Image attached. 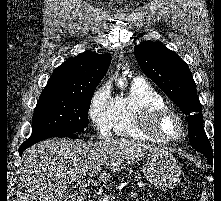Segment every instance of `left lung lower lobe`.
<instances>
[{
    "mask_svg": "<svg viewBox=\"0 0 221 201\" xmlns=\"http://www.w3.org/2000/svg\"><path fill=\"white\" fill-rule=\"evenodd\" d=\"M206 158H207L208 162H209L210 164H212L213 156H206Z\"/></svg>",
    "mask_w": 221,
    "mask_h": 201,
    "instance_id": "obj_1",
    "label": "left lung lower lobe"
}]
</instances>
